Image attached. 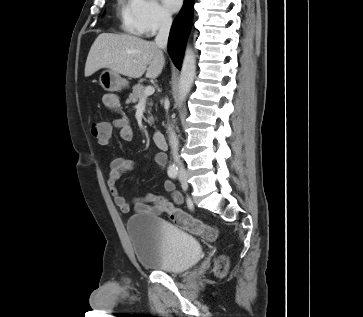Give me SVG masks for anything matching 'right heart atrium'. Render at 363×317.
<instances>
[{"label":"right heart atrium","instance_id":"1","mask_svg":"<svg viewBox=\"0 0 363 317\" xmlns=\"http://www.w3.org/2000/svg\"><path fill=\"white\" fill-rule=\"evenodd\" d=\"M136 33L152 36L167 28L171 23L170 15L156 0H132Z\"/></svg>","mask_w":363,"mask_h":317}]
</instances>
